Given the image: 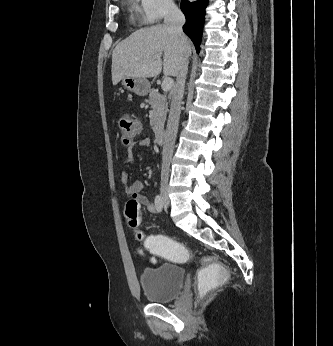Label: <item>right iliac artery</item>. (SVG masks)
Instances as JSON below:
<instances>
[{
  "label": "right iliac artery",
  "mask_w": 333,
  "mask_h": 346,
  "mask_svg": "<svg viewBox=\"0 0 333 346\" xmlns=\"http://www.w3.org/2000/svg\"><path fill=\"white\" fill-rule=\"evenodd\" d=\"M155 206H156V209H157L158 212L162 211V209H163V201H162L161 195H157L155 197Z\"/></svg>",
  "instance_id": "82829eb1"
}]
</instances>
